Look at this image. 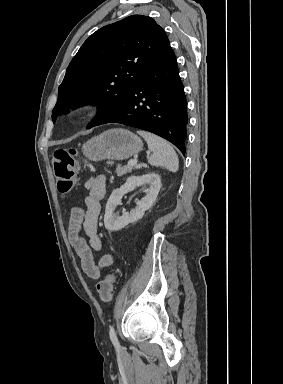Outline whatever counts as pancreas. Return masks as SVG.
<instances>
[{
	"instance_id": "pancreas-1",
	"label": "pancreas",
	"mask_w": 283,
	"mask_h": 384,
	"mask_svg": "<svg viewBox=\"0 0 283 384\" xmlns=\"http://www.w3.org/2000/svg\"><path fill=\"white\" fill-rule=\"evenodd\" d=\"M131 170H133L132 166H120V164H118L116 168L117 176H124V174H130Z\"/></svg>"
}]
</instances>
